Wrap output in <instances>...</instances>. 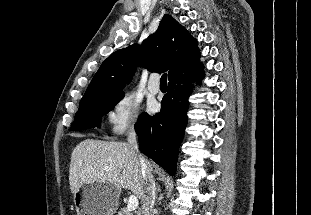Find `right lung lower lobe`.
I'll list each match as a JSON object with an SVG mask.
<instances>
[{
  "label": "right lung lower lobe",
  "mask_w": 311,
  "mask_h": 215,
  "mask_svg": "<svg viewBox=\"0 0 311 215\" xmlns=\"http://www.w3.org/2000/svg\"><path fill=\"white\" fill-rule=\"evenodd\" d=\"M203 74V66L199 63L170 79L160 113L155 116L143 113L135 124L139 150L166 169L170 175H174L176 171L178 148L187 125L188 97L192 91V83L200 81Z\"/></svg>",
  "instance_id": "98d812e1"
}]
</instances>
